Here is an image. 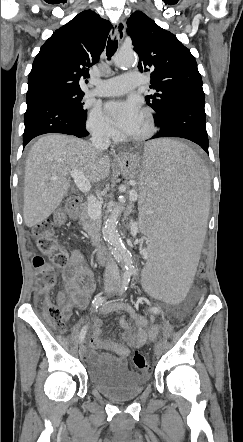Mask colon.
Listing matches in <instances>:
<instances>
[{
  "label": "colon",
  "mask_w": 243,
  "mask_h": 442,
  "mask_svg": "<svg viewBox=\"0 0 243 442\" xmlns=\"http://www.w3.org/2000/svg\"><path fill=\"white\" fill-rule=\"evenodd\" d=\"M122 224L125 229L130 230L133 227L130 216L122 217ZM66 222V211L60 210L55 213L52 221H43L39 223L34 230L37 238V247L45 255L51 258L55 266H65L68 263L67 252L59 246L54 238L53 225H63ZM209 261L208 255H203L200 263L197 264L194 276L197 279L202 278L203 272ZM33 266L36 271V289L39 295H45L43 300L44 315L57 329L66 331V313L57 305L53 304L47 294L51 291L56 283V273L43 257L34 256ZM133 366L141 371L148 372L151 369L150 356H144L140 352L133 354Z\"/></svg>",
  "instance_id": "obj_1"
}]
</instances>
